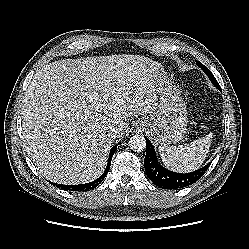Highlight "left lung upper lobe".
<instances>
[{
  "label": "left lung upper lobe",
  "instance_id": "left-lung-upper-lobe-1",
  "mask_svg": "<svg viewBox=\"0 0 249 249\" xmlns=\"http://www.w3.org/2000/svg\"><path fill=\"white\" fill-rule=\"evenodd\" d=\"M197 66H199L208 76V78L210 79V81L212 82V84L219 90H221L219 83L217 82L216 78L214 77V75L212 74V72L206 67L204 66L201 62L197 61Z\"/></svg>",
  "mask_w": 249,
  "mask_h": 249
}]
</instances>
